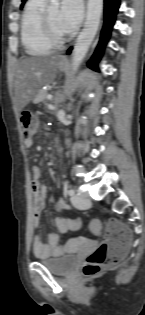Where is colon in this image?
Instances as JSON below:
<instances>
[{
	"label": "colon",
	"instance_id": "5ec220e1",
	"mask_svg": "<svg viewBox=\"0 0 145 315\" xmlns=\"http://www.w3.org/2000/svg\"><path fill=\"white\" fill-rule=\"evenodd\" d=\"M20 120L25 140L31 139L37 130L35 115L32 112L24 111ZM89 230L93 234H98L100 232L99 221L92 220L89 223ZM131 240V232L126 225L115 219L110 220L102 243L87 257L84 263V275L93 276L116 265L126 254Z\"/></svg>",
	"mask_w": 145,
	"mask_h": 315
}]
</instances>
